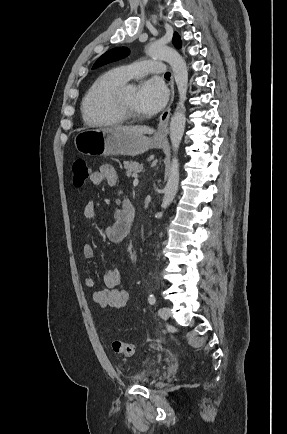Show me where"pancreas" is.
<instances>
[{"label":"pancreas","instance_id":"pancreas-1","mask_svg":"<svg viewBox=\"0 0 287 434\" xmlns=\"http://www.w3.org/2000/svg\"><path fill=\"white\" fill-rule=\"evenodd\" d=\"M142 165L133 161H124L127 177L136 176L141 171Z\"/></svg>","mask_w":287,"mask_h":434}]
</instances>
